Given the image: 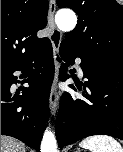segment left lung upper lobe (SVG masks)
Instances as JSON below:
<instances>
[{
	"label": "left lung upper lobe",
	"instance_id": "5c2ea615",
	"mask_svg": "<svg viewBox=\"0 0 123 152\" xmlns=\"http://www.w3.org/2000/svg\"><path fill=\"white\" fill-rule=\"evenodd\" d=\"M57 5L78 14L65 46L98 65L123 70V8L116 0H57Z\"/></svg>",
	"mask_w": 123,
	"mask_h": 152
}]
</instances>
